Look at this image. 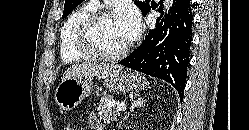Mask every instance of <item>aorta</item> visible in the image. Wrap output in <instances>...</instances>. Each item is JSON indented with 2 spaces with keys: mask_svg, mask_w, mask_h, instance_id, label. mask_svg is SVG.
Returning a JSON list of instances; mask_svg holds the SVG:
<instances>
[{
  "mask_svg": "<svg viewBox=\"0 0 249 130\" xmlns=\"http://www.w3.org/2000/svg\"><path fill=\"white\" fill-rule=\"evenodd\" d=\"M172 5V1H170V0H166L165 2H164V13H167L168 12V10H169V7Z\"/></svg>",
  "mask_w": 249,
  "mask_h": 130,
  "instance_id": "obj_1",
  "label": "aorta"
}]
</instances>
